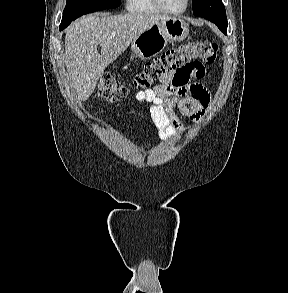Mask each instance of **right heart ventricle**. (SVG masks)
<instances>
[{"label": "right heart ventricle", "mask_w": 288, "mask_h": 293, "mask_svg": "<svg viewBox=\"0 0 288 293\" xmlns=\"http://www.w3.org/2000/svg\"><path fill=\"white\" fill-rule=\"evenodd\" d=\"M126 8L133 13H161L154 0H126Z\"/></svg>", "instance_id": "right-heart-ventricle-1"}]
</instances>
